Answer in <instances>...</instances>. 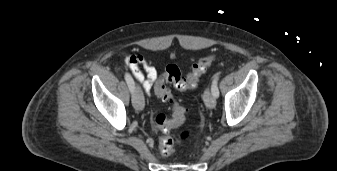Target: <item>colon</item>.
I'll return each mask as SVG.
<instances>
[{"label": "colon", "mask_w": 337, "mask_h": 171, "mask_svg": "<svg viewBox=\"0 0 337 171\" xmlns=\"http://www.w3.org/2000/svg\"><path fill=\"white\" fill-rule=\"evenodd\" d=\"M214 60V55L199 58L186 76H182L177 66L168 65L156 82L154 87L156 95L163 101L168 102L171 108V117H168L164 113H158L153 119L154 127L158 134V147L162 156L168 157L173 154L174 144L170 131L182 126L185 121V108L173 97L167 83H172L180 91L191 90L197 86L200 76ZM193 133L192 127L183 126L179 132V137L181 140L187 141L192 137Z\"/></svg>", "instance_id": "obj_1"}]
</instances>
